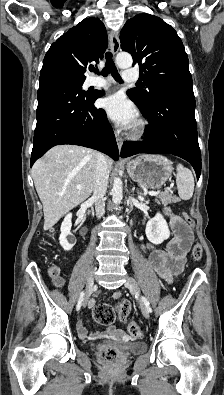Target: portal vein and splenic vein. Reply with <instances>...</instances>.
I'll use <instances>...</instances> for the list:
<instances>
[{
  "label": "portal vein and splenic vein",
  "instance_id": "portal-vein-and-splenic-vein-1",
  "mask_svg": "<svg viewBox=\"0 0 224 395\" xmlns=\"http://www.w3.org/2000/svg\"><path fill=\"white\" fill-rule=\"evenodd\" d=\"M81 188H82L81 186H77V189L80 190ZM158 193H159V192H156V191H149V192H148V194H149L150 196H156V195H158Z\"/></svg>",
  "mask_w": 224,
  "mask_h": 395
}]
</instances>
